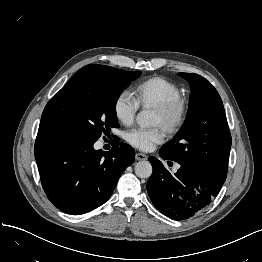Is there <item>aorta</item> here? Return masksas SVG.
I'll return each mask as SVG.
<instances>
[{"instance_id": "obj_1", "label": "aorta", "mask_w": 262, "mask_h": 262, "mask_svg": "<svg viewBox=\"0 0 262 262\" xmlns=\"http://www.w3.org/2000/svg\"><path fill=\"white\" fill-rule=\"evenodd\" d=\"M136 121L141 127H148L155 124L156 117L152 110H142L138 113ZM135 174L139 178H149L152 174L151 163L149 161H139L136 163Z\"/></svg>"}]
</instances>
